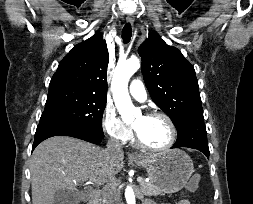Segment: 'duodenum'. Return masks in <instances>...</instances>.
Here are the masks:
<instances>
[{"label": "duodenum", "mask_w": 253, "mask_h": 204, "mask_svg": "<svg viewBox=\"0 0 253 204\" xmlns=\"http://www.w3.org/2000/svg\"><path fill=\"white\" fill-rule=\"evenodd\" d=\"M100 197V192L98 190H93L87 200V204H97Z\"/></svg>", "instance_id": "duodenum-1"}]
</instances>
